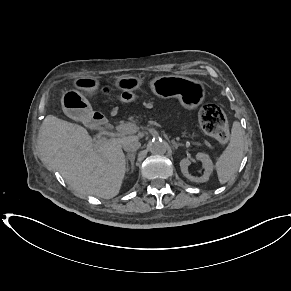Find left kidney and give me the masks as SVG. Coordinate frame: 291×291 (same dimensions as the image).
<instances>
[{"instance_id": "5707ae66", "label": "left kidney", "mask_w": 291, "mask_h": 291, "mask_svg": "<svg viewBox=\"0 0 291 291\" xmlns=\"http://www.w3.org/2000/svg\"><path fill=\"white\" fill-rule=\"evenodd\" d=\"M196 159L201 161L203 164L204 174L201 177H195L189 173L188 166L191 164V161L186 158L180 161L181 172L190 181L199 182V183L207 182L209 180L211 173L213 172V167H214L213 163L209 155L205 153H198L196 155Z\"/></svg>"}]
</instances>
